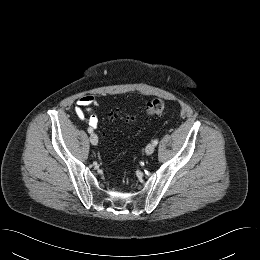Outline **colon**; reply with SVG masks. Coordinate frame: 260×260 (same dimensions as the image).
I'll use <instances>...</instances> for the list:
<instances>
[{
	"label": "colon",
	"instance_id": "1",
	"mask_svg": "<svg viewBox=\"0 0 260 260\" xmlns=\"http://www.w3.org/2000/svg\"><path fill=\"white\" fill-rule=\"evenodd\" d=\"M165 109V104L162 99L154 98L147 103L146 113L150 116L160 115ZM120 116L118 111L110 113V117L118 118ZM126 121H134L133 117H125Z\"/></svg>",
	"mask_w": 260,
	"mask_h": 260
}]
</instances>
